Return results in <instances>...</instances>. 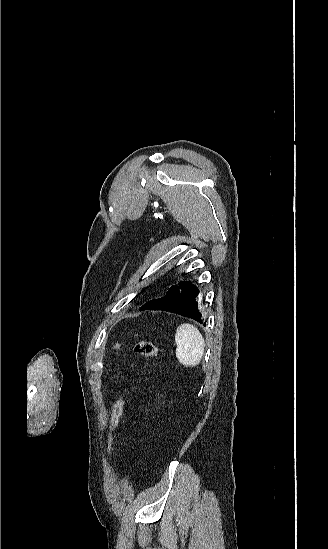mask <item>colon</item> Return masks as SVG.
Instances as JSON below:
<instances>
[{
    "instance_id": "5ec220e1",
    "label": "colon",
    "mask_w": 328,
    "mask_h": 549,
    "mask_svg": "<svg viewBox=\"0 0 328 549\" xmlns=\"http://www.w3.org/2000/svg\"><path fill=\"white\" fill-rule=\"evenodd\" d=\"M134 351L139 355L152 361L156 360L160 353L159 348L154 343L146 340H141L138 343H136L134 345ZM125 404H126L125 398L123 397L119 398L115 402L112 409L111 428H110V433L108 438V449L110 453L113 451L114 431L120 423Z\"/></svg>"
}]
</instances>
